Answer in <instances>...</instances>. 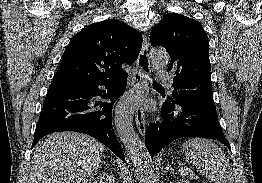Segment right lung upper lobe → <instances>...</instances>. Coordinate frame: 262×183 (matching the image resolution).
<instances>
[{"instance_id":"1","label":"right lung upper lobe","mask_w":262,"mask_h":183,"mask_svg":"<svg viewBox=\"0 0 262 183\" xmlns=\"http://www.w3.org/2000/svg\"><path fill=\"white\" fill-rule=\"evenodd\" d=\"M141 45V34L122 21L91 24L71 39L50 86L117 78L126 73L123 63H134Z\"/></svg>"}]
</instances>
